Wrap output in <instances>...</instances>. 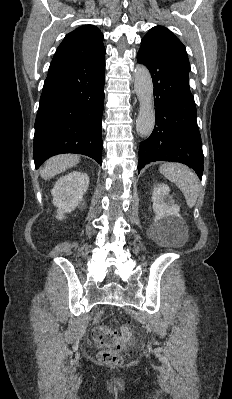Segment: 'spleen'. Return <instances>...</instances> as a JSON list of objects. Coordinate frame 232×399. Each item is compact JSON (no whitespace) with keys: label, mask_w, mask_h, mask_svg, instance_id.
Instances as JSON below:
<instances>
[{"label":"spleen","mask_w":232,"mask_h":399,"mask_svg":"<svg viewBox=\"0 0 232 399\" xmlns=\"http://www.w3.org/2000/svg\"><path fill=\"white\" fill-rule=\"evenodd\" d=\"M160 174H163L167 180L176 184L181 190L189 207L195 205L199 196V182L193 170L183 164H162L159 168Z\"/></svg>","instance_id":"1"}]
</instances>
